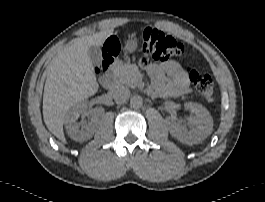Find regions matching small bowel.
Segmentation results:
<instances>
[{"mask_svg":"<svg viewBox=\"0 0 265 202\" xmlns=\"http://www.w3.org/2000/svg\"><path fill=\"white\" fill-rule=\"evenodd\" d=\"M141 66L152 80L150 94L177 97L189 91L187 73L178 62L169 60L156 64L147 61L141 62Z\"/></svg>","mask_w":265,"mask_h":202,"instance_id":"c3829d8e","label":"small bowel"}]
</instances>
